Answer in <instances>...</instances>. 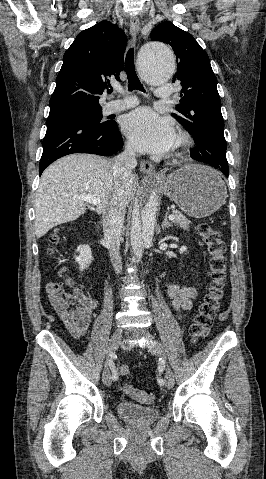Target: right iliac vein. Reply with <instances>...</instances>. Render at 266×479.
I'll list each match as a JSON object with an SVG mask.
<instances>
[{
    "label": "right iliac vein",
    "instance_id": "right-iliac-vein-1",
    "mask_svg": "<svg viewBox=\"0 0 266 479\" xmlns=\"http://www.w3.org/2000/svg\"><path fill=\"white\" fill-rule=\"evenodd\" d=\"M121 338H122V329L121 328H118L114 331L110 341H109V352L110 353H114L119 344H120V341H121ZM102 379H103V383L106 385V386H110L111 384V375H110V372L108 369H105L104 372H103V376H102Z\"/></svg>",
    "mask_w": 266,
    "mask_h": 479
}]
</instances>
